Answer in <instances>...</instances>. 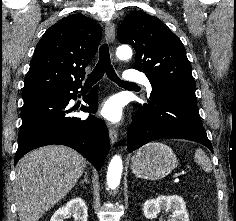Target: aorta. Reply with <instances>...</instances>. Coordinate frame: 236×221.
Returning a JSON list of instances; mask_svg holds the SVG:
<instances>
[{
    "label": "aorta",
    "instance_id": "obj_1",
    "mask_svg": "<svg viewBox=\"0 0 236 221\" xmlns=\"http://www.w3.org/2000/svg\"><path fill=\"white\" fill-rule=\"evenodd\" d=\"M116 55L121 60L129 59L132 56V49L128 45H121L117 48ZM122 170V158L119 155H115L111 159L107 171V184L111 190H115L119 186Z\"/></svg>",
    "mask_w": 236,
    "mask_h": 221
}]
</instances>
